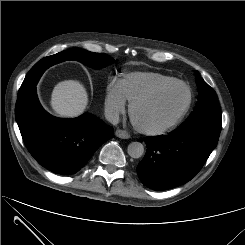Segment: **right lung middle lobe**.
<instances>
[{"label":"right lung middle lobe","mask_w":245,"mask_h":245,"mask_svg":"<svg viewBox=\"0 0 245 245\" xmlns=\"http://www.w3.org/2000/svg\"><path fill=\"white\" fill-rule=\"evenodd\" d=\"M51 57H54L57 63L65 60H77L94 68H102L114 62V59L107 54L93 53L76 47L67 51L59 52ZM37 69L38 67L35 64L31 69L32 74L35 73ZM28 87V82L24 81L19 90L18 99L26 96L30 92H28Z\"/></svg>","instance_id":"obj_1"}]
</instances>
